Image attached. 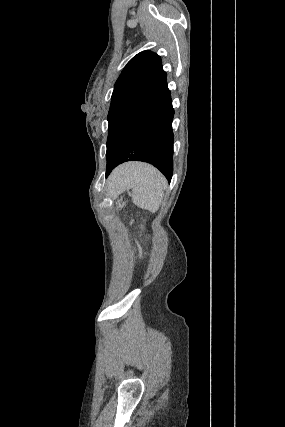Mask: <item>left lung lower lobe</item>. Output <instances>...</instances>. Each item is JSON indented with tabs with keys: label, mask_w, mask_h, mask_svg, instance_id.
Segmentation results:
<instances>
[{
	"label": "left lung lower lobe",
	"mask_w": 285,
	"mask_h": 427,
	"mask_svg": "<svg viewBox=\"0 0 285 427\" xmlns=\"http://www.w3.org/2000/svg\"><path fill=\"white\" fill-rule=\"evenodd\" d=\"M173 117L171 93L166 82L120 136L106 176L119 164L136 160L154 165L170 181L173 174Z\"/></svg>",
	"instance_id": "0a47b994"
}]
</instances>
